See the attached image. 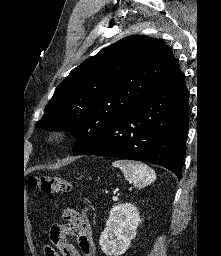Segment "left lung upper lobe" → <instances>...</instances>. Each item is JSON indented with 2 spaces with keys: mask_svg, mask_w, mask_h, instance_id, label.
Returning a JSON list of instances; mask_svg holds the SVG:
<instances>
[{
  "mask_svg": "<svg viewBox=\"0 0 221 256\" xmlns=\"http://www.w3.org/2000/svg\"><path fill=\"white\" fill-rule=\"evenodd\" d=\"M178 72L163 41L143 35L123 38L70 72L37 125L71 131L76 151Z\"/></svg>",
  "mask_w": 221,
  "mask_h": 256,
  "instance_id": "left-lung-upper-lobe-1",
  "label": "left lung upper lobe"
}]
</instances>
